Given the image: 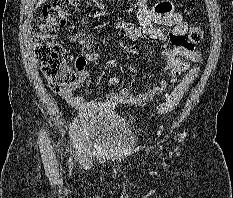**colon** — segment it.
I'll list each match as a JSON object with an SVG mask.
<instances>
[{
    "label": "colon",
    "instance_id": "obj_1",
    "mask_svg": "<svg viewBox=\"0 0 233 198\" xmlns=\"http://www.w3.org/2000/svg\"><path fill=\"white\" fill-rule=\"evenodd\" d=\"M81 0H54L47 5L40 17L32 27V40L39 66L47 80L49 87L55 93L69 91L76 83V75L68 66L65 49L57 40V33L65 26L67 18L74 14ZM203 38V30L200 27H192L188 32L186 46L193 48ZM77 59L75 65L82 64ZM199 71L198 66L191 68L182 81L166 94L158 104L156 110L159 114L172 111L181 101L185 92L195 80Z\"/></svg>",
    "mask_w": 233,
    "mask_h": 198
}]
</instances>
